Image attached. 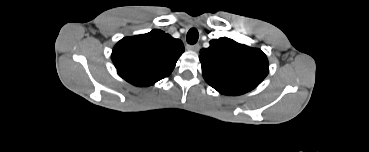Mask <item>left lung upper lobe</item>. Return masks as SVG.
<instances>
[{"label": "left lung upper lobe", "mask_w": 369, "mask_h": 152, "mask_svg": "<svg viewBox=\"0 0 369 152\" xmlns=\"http://www.w3.org/2000/svg\"><path fill=\"white\" fill-rule=\"evenodd\" d=\"M205 81L224 95H241L257 87L269 72L266 55L222 37L210 41L199 56Z\"/></svg>", "instance_id": "5c2ea615"}]
</instances>
